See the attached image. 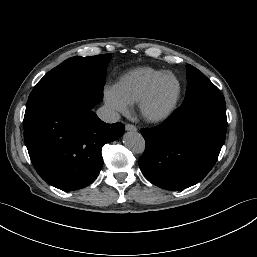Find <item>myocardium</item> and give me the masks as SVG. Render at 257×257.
Returning <instances> with one entry per match:
<instances>
[{"instance_id": "f54148a6", "label": "myocardium", "mask_w": 257, "mask_h": 257, "mask_svg": "<svg viewBox=\"0 0 257 257\" xmlns=\"http://www.w3.org/2000/svg\"><path fill=\"white\" fill-rule=\"evenodd\" d=\"M168 76L174 77L178 82L177 95H176L173 103L171 104V106L165 112H163L162 114H159V115H151L150 113H148L147 107H148L149 103L151 102L152 98L154 97L155 92H156L158 86L160 85V83ZM182 95H183V84H182L181 79L175 73L166 71L165 73L160 75L158 78H156L152 82V84L149 86L146 93L141 98V100L139 102V112H140L141 117L145 121H147L149 123H153V124H159V123L166 122L174 115V113L178 109L181 99H182Z\"/></svg>"}]
</instances>
